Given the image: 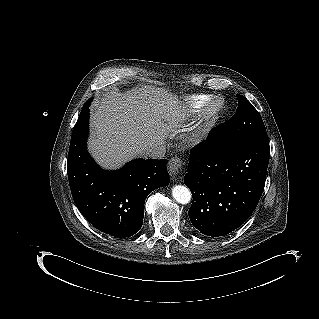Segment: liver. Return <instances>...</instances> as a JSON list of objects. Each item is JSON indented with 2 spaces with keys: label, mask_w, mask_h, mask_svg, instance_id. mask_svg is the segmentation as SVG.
I'll list each match as a JSON object with an SVG mask.
<instances>
[{
  "label": "liver",
  "mask_w": 319,
  "mask_h": 319,
  "mask_svg": "<svg viewBox=\"0 0 319 319\" xmlns=\"http://www.w3.org/2000/svg\"><path fill=\"white\" fill-rule=\"evenodd\" d=\"M182 102L161 88L107 91L92 104L89 151L106 169L143 156L145 146L164 145L184 121Z\"/></svg>",
  "instance_id": "1"
}]
</instances>
